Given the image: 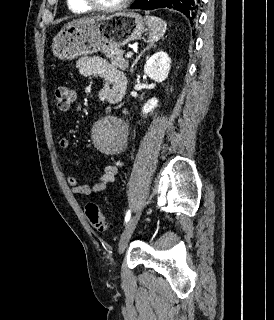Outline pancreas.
<instances>
[{"mask_svg": "<svg viewBox=\"0 0 274 320\" xmlns=\"http://www.w3.org/2000/svg\"><path fill=\"white\" fill-rule=\"evenodd\" d=\"M103 54H105L106 58H109L111 64L115 66V68H119V70H126L129 66L128 60L123 58L124 50H119V48H107V50H103Z\"/></svg>", "mask_w": 274, "mask_h": 320, "instance_id": "1", "label": "pancreas"}]
</instances>
